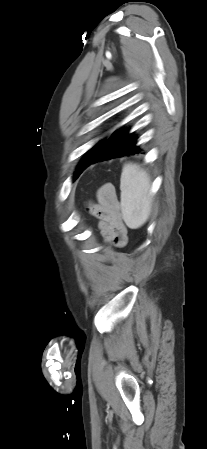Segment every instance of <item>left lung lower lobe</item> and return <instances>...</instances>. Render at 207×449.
Wrapping results in <instances>:
<instances>
[{
    "label": "left lung lower lobe",
    "instance_id": "0a47b994",
    "mask_svg": "<svg viewBox=\"0 0 207 449\" xmlns=\"http://www.w3.org/2000/svg\"><path fill=\"white\" fill-rule=\"evenodd\" d=\"M128 130L129 129H124L122 131L115 132L102 145L101 149L89 162L88 166L99 161L140 153V148L136 146V137L133 133L128 134Z\"/></svg>",
    "mask_w": 207,
    "mask_h": 449
}]
</instances>
